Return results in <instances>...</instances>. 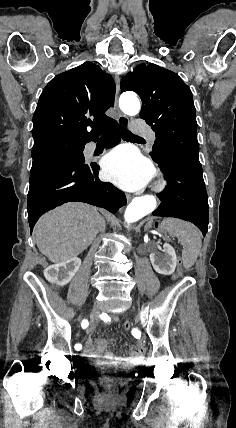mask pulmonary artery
Instances as JSON below:
<instances>
[{
	"instance_id": "e3ab8cb5",
	"label": "pulmonary artery",
	"mask_w": 236,
	"mask_h": 428,
	"mask_svg": "<svg viewBox=\"0 0 236 428\" xmlns=\"http://www.w3.org/2000/svg\"><path fill=\"white\" fill-rule=\"evenodd\" d=\"M155 139H156L155 135H153L149 138V140L151 142L155 141ZM95 149H96V146L93 143H90L86 146V152H88V153H93L95 151Z\"/></svg>"
}]
</instances>
